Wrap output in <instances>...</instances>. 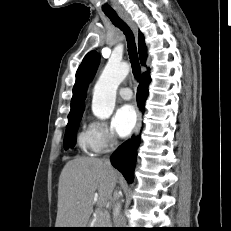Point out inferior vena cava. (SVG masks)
I'll return each mask as SVG.
<instances>
[{"mask_svg": "<svg viewBox=\"0 0 231 231\" xmlns=\"http://www.w3.org/2000/svg\"><path fill=\"white\" fill-rule=\"evenodd\" d=\"M103 162L109 166V167H112L111 166V162H110V158L109 157H104L103 158ZM126 224V220H125V217L122 215V214H118L117 217H116V220H115V226L116 228H123Z\"/></svg>", "mask_w": 231, "mask_h": 231, "instance_id": "obj_1", "label": "inferior vena cava"}]
</instances>
